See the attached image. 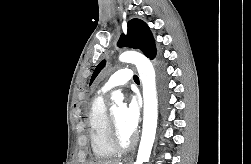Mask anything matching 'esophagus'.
Here are the masks:
<instances>
[{"instance_id":"34e87169","label":"esophagus","mask_w":251,"mask_h":164,"mask_svg":"<svg viewBox=\"0 0 251 164\" xmlns=\"http://www.w3.org/2000/svg\"><path fill=\"white\" fill-rule=\"evenodd\" d=\"M133 160H134V153L131 156H129V158L127 160L128 164H132Z\"/></svg>"}]
</instances>
